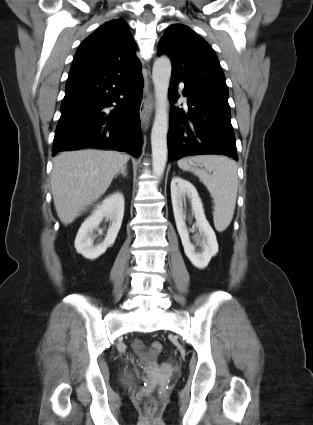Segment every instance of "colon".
<instances>
[{
	"instance_id": "1",
	"label": "colon",
	"mask_w": 313,
	"mask_h": 425,
	"mask_svg": "<svg viewBox=\"0 0 313 425\" xmlns=\"http://www.w3.org/2000/svg\"><path fill=\"white\" fill-rule=\"evenodd\" d=\"M161 350H162V344L158 341H155L150 345V351L152 353H160ZM144 410L148 415L150 416L154 415L157 411L156 400L152 397L147 398L144 402Z\"/></svg>"
}]
</instances>
